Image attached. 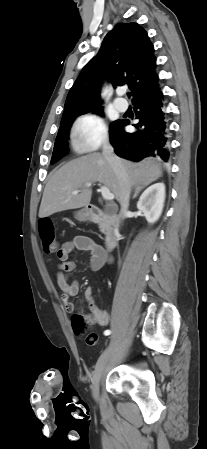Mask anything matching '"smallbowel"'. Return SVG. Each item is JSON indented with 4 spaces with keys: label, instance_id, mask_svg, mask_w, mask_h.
<instances>
[{
    "label": "small bowel",
    "instance_id": "1",
    "mask_svg": "<svg viewBox=\"0 0 207 449\" xmlns=\"http://www.w3.org/2000/svg\"><path fill=\"white\" fill-rule=\"evenodd\" d=\"M74 250L88 251L91 254L90 268L93 271L99 270L104 264L111 262L108 252L87 236H77L73 240L65 242L58 251L61 263L58 264L56 274V285L61 291V300L67 312L72 313L75 305L69 301L79 292V282L74 280L69 282L70 273L75 269L76 264L70 260V255ZM84 296L91 308V315L87 317L90 323L108 325L110 316L108 312L101 310L95 303L91 288H86Z\"/></svg>",
    "mask_w": 207,
    "mask_h": 449
}]
</instances>
